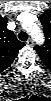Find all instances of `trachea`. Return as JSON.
Wrapping results in <instances>:
<instances>
[{
  "label": "trachea",
  "mask_w": 51,
  "mask_h": 101,
  "mask_svg": "<svg viewBox=\"0 0 51 101\" xmlns=\"http://www.w3.org/2000/svg\"><path fill=\"white\" fill-rule=\"evenodd\" d=\"M18 38H19L21 41H27L28 35H27L26 32H20L19 35H18Z\"/></svg>",
  "instance_id": "trachea-1"
}]
</instances>
